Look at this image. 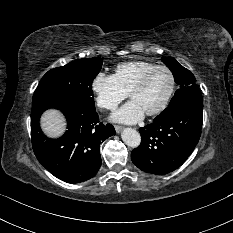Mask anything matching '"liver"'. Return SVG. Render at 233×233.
<instances>
[{
	"label": "liver",
	"mask_w": 233,
	"mask_h": 233,
	"mask_svg": "<svg viewBox=\"0 0 233 233\" xmlns=\"http://www.w3.org/2000/svg\"><path fill=\"white\" fill-rule=\"evenodd\" d=\"M65 119L57 110H48L41 117V127L49 137H59L65 131Z\"/></svg>",
	"instance_id": "6515ba94"
}]
</instances>
